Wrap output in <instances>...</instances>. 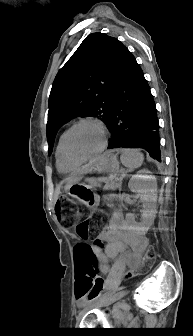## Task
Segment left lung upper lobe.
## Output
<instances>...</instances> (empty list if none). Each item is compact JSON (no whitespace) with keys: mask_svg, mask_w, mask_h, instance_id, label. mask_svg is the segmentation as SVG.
I'll return each instance as SVG.
<instances>
[{"mask_svg":"<svg viewBox=\"0 0 193 336\" xmlns=\"http://www.w3.org/2000/svg\"><path fill=\"white\" fill-rule=\"evenodd\" d=\"M127 48L104 33L88 35L55 77L49 97V155L59 128L74 117H98L107 125L113 92Z\"/></svg>","mask_w":193,"mask_h":336,"instance_id":"5c2ea615","label":"left lung upper lobe"}]
</instances>
